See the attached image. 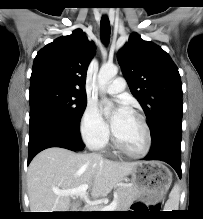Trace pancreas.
<instances>
[{"mask_svg": "<svg viewBox=\"0 0 203 219\" xmlns=\"http://www.w3.org/2000/svg\"><path fill=\"white\" fill-rule=\"evenodd\" d=\"M117 207L115 211H124L132 204L133 200L138 197V191L131 186H121L116 190ZM99 206L98 208H101Z\"/></svg>", "mask_w": 203, "mask_h": 219, "instance_id": "obj_1", "label": "pancreas"}]
</instances>
